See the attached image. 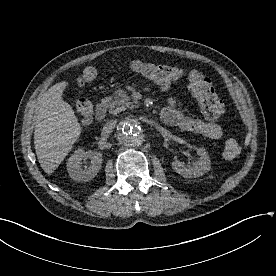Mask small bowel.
<instances>
[{"label": "small bowel", "mask_w": 276, "mask_h": 276, "mask_svg": "<svg viewBox=\"0 0 276 276\" xmlns=\"http://www.w3.org/2000/svg\"><path fill=\"white\" fill-rule=\"evenodd\" d=\"M161 119L167 125L194 132L209 139H219L223 135V129L219 124L183 114L177 108L174 99H170L168 105L161 111Z\"/></svg>", "instance_id": "c3829d8e"}]
</instances>
